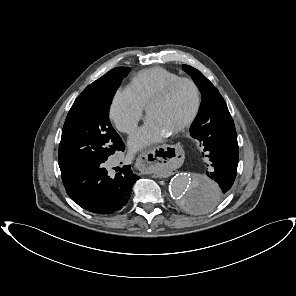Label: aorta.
Returning <instances> with one entry per match:
<instances>
[{"instance_id": "aorta-1", "label": "aorta", "mask_w": 296, "mask_h": 296, "mask_svg": "<svg viewBox=\"0 0 296 296\" xmlns=\"http://www.w3.org/2000/svg\"><path fill=\"white\" fill-rule=\"evenodd\" d=\"M217 184L206 176L175 175L169 185L171 197L187 214L198 215L210 210L216 202Z\"/></svg>"}]
</instances>
